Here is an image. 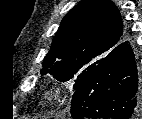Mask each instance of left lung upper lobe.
<instances>
[{
  "label": "left lung upper lobe",
  "instance_id": "left-lung-upper-lobe-1",
  "mask_svg": "<svg viewBox=\"0 0 142 119\" xmlns=\"http://www.w3.org/2000/svg\"><path fill=\"white\" fill-rule=\"evenodd\" d=\"M127 36L119 10L109 0H82L63 18L43 62L61 82L74 80L76 90L101 60Z\"/></svg>",
  "mask_w": 142,
  "mask_h": 119
}]
</instances>
